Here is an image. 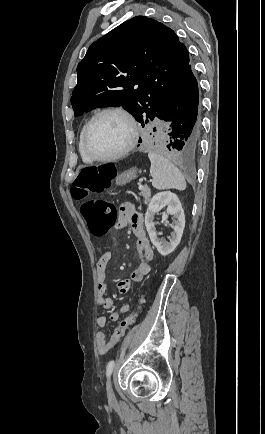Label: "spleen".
I'll return each mask as SVG.
<instances>
[{
  "instance_id": "3e777b00",
  "label": "spleen",
  "mask_w": 265,
  "mask_h": 434,
  "mask_svg": "<svg viewBox=\"0 0 265 434\" xmlns=\"http://www.w3.org/2000/svg\"><path fill=\"white\" fill-rule=\"evenodd\" d=\"M148 158L151 162L150 174L153 178L152 186L156 190H170V188L185 190V178L170 160L159 156V154H155V152H149Z\"/></svg>"
}]
</instances>
